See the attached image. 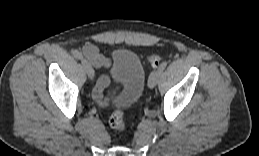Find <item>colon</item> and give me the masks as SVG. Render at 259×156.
<instances>
[{
  "label": "colon",
  "mask_w": 259,
  "mask_h": 156,
  "mask_svg": "<svg viewBox=\"0 0 259 156\" xmlns=\"http://www.w3.org/2000/svg\"><path fill=\"white\" fill-rule=\"evenodd\" d=\"M160 60H161V58L159 56L153 55L148 58V63L151 66L155 67L159 64ZM109 123H110V126L115 130H119V131L125 130L124 113L121 108L116 109L112 113Z\"/></svg>",
  "instance_id": "1"
}]
</instances>
